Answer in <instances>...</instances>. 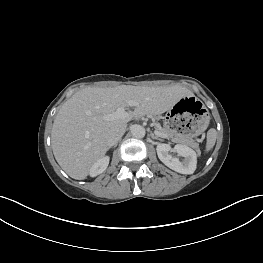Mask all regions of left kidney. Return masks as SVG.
<instances>
[{
	"label": "left kidney",
	"instance_id": "5707ae66",
	"mask_svg": "<svg viewBox=\"0 0 263 263\" xmlns=\"http://www.w3.org/2000/svg\"><path fill=\"white\" fill-rule=\"evenodd\" d=\"M158 158L170 169L181 174H193L197 165V154L190 147L182 144H177L172 149L169 144L157 145ZM176 152L178 156L184 157L183 161H180L178 157H174L170 152Z\"/></svg>",
	"mask_w": 263,
	"mask_h": 263
}]
</instances>
